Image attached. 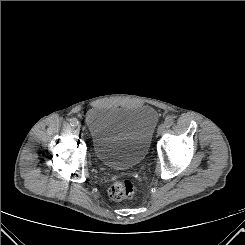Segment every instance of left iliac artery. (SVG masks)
<instances>
[{"label": "left iliac artery", "mask_w": 245, "mask_h": 245, "mask_svg": "<svg viewBox=\"0 0 245 245\" xmlns=\"http://www.w3.org/2000/svg\"><path fill=\"white\" fill-rule=\"evenodd\" d=\"M165 126L166 127H170V126H172L173 124H174V119H173V117L172 116H169V117H167L166 119H165Z\"/></svg>", "instance_id": "44dca946"}]
</instances>
